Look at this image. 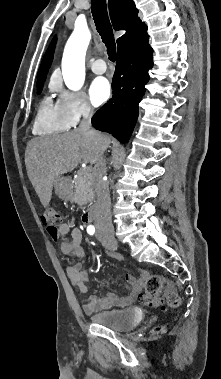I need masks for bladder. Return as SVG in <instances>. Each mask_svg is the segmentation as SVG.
I'll use <instances>...</instances> for the list:
<instances>
[{"label": "bladder", "mask_w": 221, "mask_h": 379, "mask_svg": "<svg viewBox=\"0 0 221 379\" xmlns=\"http://www.w3.org/2000/svg\"><path fill=\"white\" fill-rule=\"evenodd\" d=\"M142 318V313L136 308L102 310L89 316L93 323L119 332L135 328Z\"/></svg>", "instance_id": "bladder-1"}]
</instances>
